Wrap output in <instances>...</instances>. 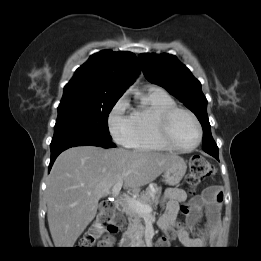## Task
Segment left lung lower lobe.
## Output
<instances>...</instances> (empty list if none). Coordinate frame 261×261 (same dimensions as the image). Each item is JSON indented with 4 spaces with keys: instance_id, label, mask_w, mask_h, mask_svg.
Masks as SVG:
<instances>
[{
    "instance_id": "left-lung-lower-lobe-1",
    "label": "left lung lower lobe",
    "mask_w": 261,
    "mask_h": 261,
    "mask_svg": "<svg viewBox=\"0 0 261 261\" xmlns=\"http://www.w3.org/2000/svg\"><path fill=\"white\" fill-rule=\"evenodd\" d=\"M206 153L212 155L214 158H216L217 160H219L218 158V152H212V151H208V150H204Z\"/></svg>"
}]
</instances>
